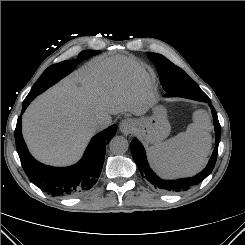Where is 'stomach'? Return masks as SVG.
<instances>
[{
	"mask_svg": "<svg viewBox=\"0 0 245 245\" xmlns=\"http://www.w3.org/2000/svg\"><path fill=\"white\" fill-rule=\"evenodd\" d=\"M171 126L166 117V110L162 106L154 108V114L137 120L136 131L147 144H157L170 133Z\"/></svg>",
	"mask_w": 245,
	"mask_h": 245,
	"instance_id": "stomach-1",
	"label": "stomach"
}]
</instances>
